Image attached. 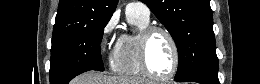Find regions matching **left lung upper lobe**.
Wrapping results in <instances>:
<instances>
[{"label": "left lung upper lobe", "mask_w": 260, "mask_h": 84, "mask_svg": "<svg viewBox=\"0 0 260 84\" xmlns=\"http://www.w3.org/2000/svg\"><path fill=\"white\" fill-rule=\"evenodd\" d=\"M166 27L179 55L176 81L202 71H218L209 0H142Z\"/></svg>", "instance_id": "5c2ea615"}]
</instances>
